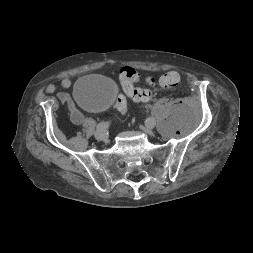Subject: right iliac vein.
Returning <instances> with one entry per match:
<instances>
[{"label": "right iliac vein", "instance_id": "right-iliac-vein-1", "mask_svg": "<svg viewBox=\"0 0 253 253\" xmlns=\"http://www.w3.org/2000/svg\"><path fill=\"white\" fill-rule=\"evenodd\" d=\"M95 138L100 141H107V135L103 130H96Z\"/></svg>", "mask_w": 253, "mask_h": 253}]
</instances>
